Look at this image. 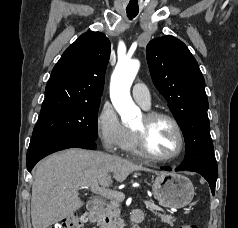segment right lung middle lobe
Listing matches in <instances>:
<instances>
[{
	"instance_id": "1",
	"label": "right lung middle lobe",
	"mask_w": 238,
	"mask_h": 228,
	"mask_svg": "<svg viewBox=\"0 0 238 228\" xmlns=\"http://www.w3.org/2000/svg\"><path fill=\"white\" fill-rule=\"evenodd\" d=\"M99 105L100 103L72 105L40 115L32 137L81 136L96 140Z\"/></svg>"
}]
</instances>
